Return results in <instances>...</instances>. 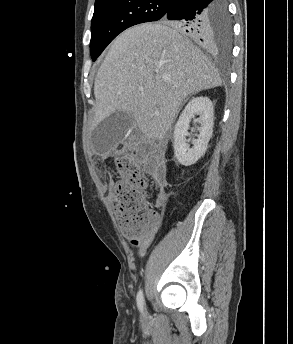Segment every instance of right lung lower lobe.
Here are the masks:
<instances>
[{
  "label": "right lung lower lobe",
  "mask_w": 293,
  "mask_h": 344,
  "mask_svg": "<svg viewBox=\"0 0 293 344\" xmlns=\"http://www.w3.org/2000/svg\"><path fill=\"white\" fill-rule=\"evenodd\" d=\"M218 0H172L164 20H174L197 43L212 45L210 18Z\"/></svg>",
  "instance_id": "right-lung-lower-lobe-1"
}]
</instances>
